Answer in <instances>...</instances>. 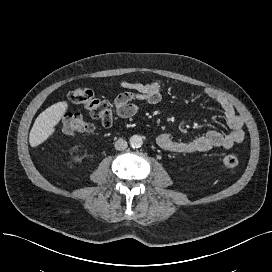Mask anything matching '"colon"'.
<instances>
[{"label":"colon","mask_w":272,"mask_h":272,"mask_svg":"<svg viewBox=\"0 0 272 272\" xmlns=\"http://www.w3.org/2000/svg\"><path fill=\"white\" fill-rule=\"evenodd\" d=\"M68 101L71 104L82 106L102 126L110 127L112 125L113 110L111 105L97 98L91 90L75 86L68 94ZM93 129V124L81 114L65 115L62 119V130L69 135L90 132ZM223 164L226 168L235 169L239 165V159L233 154H228L224 156Z\"/></svg>","instance_id":"colon-1"}]
</instances>
